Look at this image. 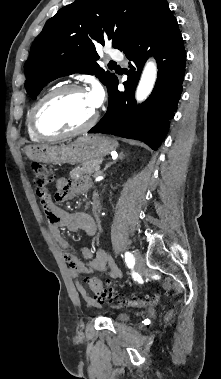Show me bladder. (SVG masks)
<instances>
[{"instance_id": "1", "label": "bladder", "mask_w": 221, "mask_h": 379, "mask_svg": "<svg viewBox=\"0 0 221 379\" xmlns=\"http://www.w3.org/2000/svg\"><path fill=\"white\" fill-rule=\"evenodd\" d=\"M117 320H119L121 322H126L129 320V315L127 313H119L117 315Z\"/></svg>"}]
</instances>
